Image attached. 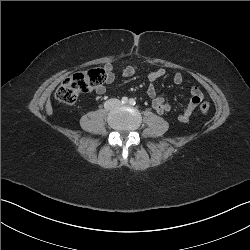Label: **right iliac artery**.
Returning <instances> with one entry per match:
<instances>
[{"instance_id":"1","label":"right iliac artery","mask_w":250,"mask_h":250,"mask_svg":"<svg viewBox=\"0 0 250 250\" xmlns=\"http://www.w3.org/2000/svg\"><path fill=\"white\" fill-rule=\"evenodd\" d=\"M121 102H122V104H126L128 102V98L127 97H123L121 99Z\"/></svg>"}]
</instances>
